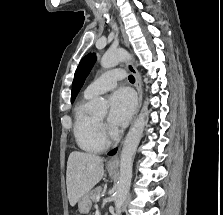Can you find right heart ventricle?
<instances>
[{
  "instance_id": "e07e8e85",
  "label": "right heart ventricle",
  "mask_w": 223,
  "mask_h": 215,
  "mask_svg": "<svg viewBox=\"0 0 223 215\" xmlns=\"http://www.w3.org/2000/svg\"><path fill=\"white\" fill-rule=\"evenodd\" d=\"M90 98L85 95L75 107L73 136L80 149L88 153H100L107 149V144L99 138L96 116L87 110Z\"/></svg>"
}]
</instances>
